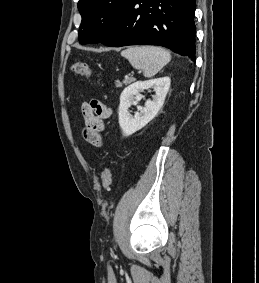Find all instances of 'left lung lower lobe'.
Segmentation results:
<instances>
[{
    "instance_id": "obj_1",
    "label": "left lung lower lobe",
    "mask_w": 259,
    "mask_h": 283,
    "mask_svg": "<svg viewBox=\"0 0 259 283\" xmlns=\"http://www.w3.org/2000/svg\"><path fill=\"white\" fill-rule=\"evenodd\" d=\"M195 0H131L112 34L111 47L158 45L195 61Z\"/></svg>"
}]
</instances>
